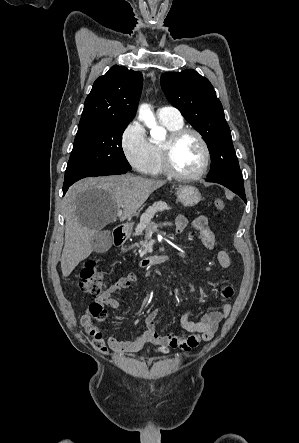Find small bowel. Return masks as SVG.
I'll return each instance as SVG.
<instances>
[{
  "mask_svg": "<svg viewBox=\"0 0 299 443\" xmlns=\"http://www.w3.org/2000/svg\"><path fill=\"white\" fill-rule=\"evenodd\" d=\"M188 226V220L183 215H178L175 219V228L177 233H182ZM194 236H199L203 245L214 250L218 247L214 233L208 224V219L204 215L197 216L193 220ZM217 261L219 265L228 269L232 265L231 258L227 251L219 249L217 252ZM136 281V275L130 273L120 277L117 281L110 284L97 298L96 303L108 306L112 309L120 307L119 301L113 297V294L129 287ZM220 296L225 300L221 303L219 309L205 313L199 321L191 319V313L185 312L181 318V327L189 335L179 336L175 333H160L157 328L156 319L159 315V308L150 311L145 317L146 329L135 335L130 340L120 341L114 337L107 339V345L117 354H130L140 351L146 343H152L159 349H179L183 352H190L201 342H208L213 339L220 322L226 319L232 309L231 304L226 301L234 296V289L230 284H223L220 288ZM81 322L84 326H89L91 317L89 313L82 316Z\"/></svg>",
  "mask_w": 299,
  "mask_h": 443,
  "instance_id": "obj_1",
  "label": "small bowel"
}]
</instances>
